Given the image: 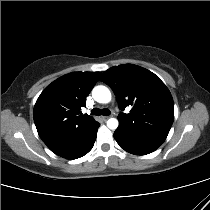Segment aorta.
<instances>
[{"label": "aorta", "mask_w": 210, "mask_h": 210, "mask_svg": "<svg viewBox=\"0 0 210 210\" xmlns=\"http://www.w3.org/2000/svg\"><path fill=\"white\" fill-rule=\"evenodd\" d=\"M92 97L94 98L95 101L98 103H109L111 101V92L110 90L102 85L96 86L92 90ZM118 120L115 118H110L107 121V126L111 130H115L118 127Z\"/></svg>", "instance_id": "obj_1"}]
</instances>
